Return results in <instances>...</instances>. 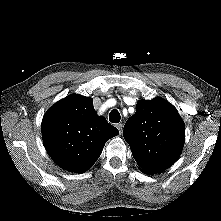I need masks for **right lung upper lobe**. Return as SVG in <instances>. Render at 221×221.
Masks as SVG:
<instances>
[{
	"label": "right lung upper lobe",
	"mask_w": 221,
	"mask_h": 221,
	"mask_svg": "<svg viewBox=\"0 0 221 221\" xmlns=\"http://www.w3.org/2000/svg\"><path fill=\"white\" fill-rule=\"evenodd\" d=\"M44 146L61 168L83 173L100 156L117 128L97 116L91 98L72 94L54 104L42 120Z\"/></svg>",
	"instance_id": "1"
}]
</instances>
